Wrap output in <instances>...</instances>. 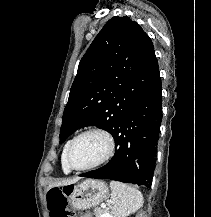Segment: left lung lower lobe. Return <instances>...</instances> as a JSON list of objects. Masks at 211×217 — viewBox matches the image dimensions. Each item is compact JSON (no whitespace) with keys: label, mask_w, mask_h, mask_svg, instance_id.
Here are the masks:
<instances>
[{"label":"left lung lower lobe","mask_w":211,"mask_h":217,"mask_svg":"<svg viewBox=\"0 0 211 217\" xmlns=\"http://www.w3.org/2000/svg\"><path fill=\"white\" fill-rule=\"evenodd\" d=\"M160 76L132 105L112 133L116 152L103 167L81 174L151 187L162 121Z\"/></svg>","instance_id":"1"}]
</instances>
